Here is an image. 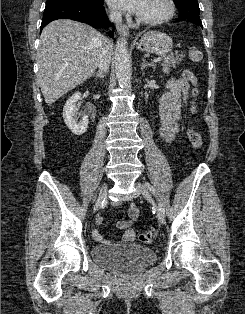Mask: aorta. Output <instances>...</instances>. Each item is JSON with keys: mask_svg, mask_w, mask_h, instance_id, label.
Here are the masks:
<instances>
[{"mask_svg": "<svg viewBox=\"0 0 245 314\" xmlns=\"http://www.w3.org/2000/svg\"><path fill=\"white\" fill-rule=\"evenodd\" d=\"M115 73L121 88L131 89V61L124 37L117 40L115 47Z\"/></svg>", "mask_w": 245, "mask_h": 314, "instance_id": "762f6f07", "label": "aorta"}]
</instances>
